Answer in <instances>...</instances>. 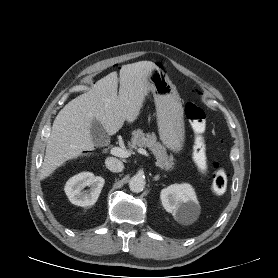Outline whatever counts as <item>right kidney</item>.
Here are the masks:
<instances>
[{
  "mask_svg": "<svg viewBox=\"0 0 278 278\" xmlns=\"http://www.w3.org/2000/svg\"><path fill=\"white\" fill-rule=\"evenodd\" d=\"M104 183L105 180L101 176L82 172L70 178L64 190L72 204L86 207L96 203ZM86 186L90 187L89 191H83Z\"/></svg>",
  "mask_w": 278,
  "mask_h": 278,
  "instance_id": "obj_1",
  "label": "right kidney"
}]
</instances>
